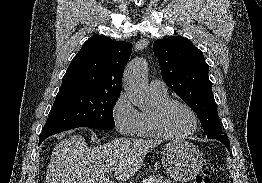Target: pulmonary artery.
<instances>
[{
	"label": "pulmonary artery",
	"mask_w": 262,
	"mask_h": 183,
	"mask_svg": "<svg viewBox=\"0 0 262 183\" xmlns=\"http://www.w3.org/2000/svg\"><path fill=\"white\" fill-rule=\"evenodd\" d=\"M149 90L151 94H166L167 86L163 81L159 79H153L149 84Z\"/></svg>",
	"instance_id": "pulmonary-artery-1"
}]
</instances>
